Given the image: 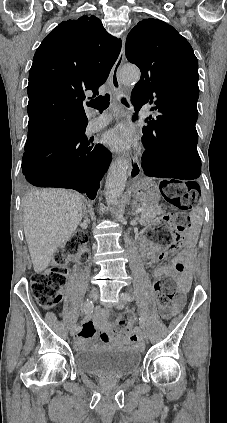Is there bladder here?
<instances>
[{
	"label": "bladder",
	"instance_id": "bladder-1",
	"mask_svg": "<svg viewBox=\"0 0 227 423\" xmlns=\"http://www.w3.org/2000/svg\"><path fill=\"white\" fill-rule=\"evenodd\" d=\"M73 361L85 375L102 379H127L141 366L142 351L128 348L89 349L75 353Z\"/></svg>",
	"mask_w": 227,
	"mask_h": 423
}]
</instances>
